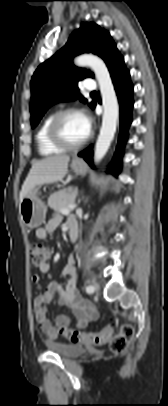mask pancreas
I'll return each mask as SVG.
<instances>
[{"mask_svg":"<svg viewBox=\"0 0 168 406\" xmlns=\"http://www.w3.org/2000/svg\"><path fill=\"white\" fill-rule=\"evenodd\" d=\"M76 193L72 188H67L53 193L48 198V206L55 211L68 208L75 203Z\"/></svg>","mask_w":168,"mask_h":406,"instance_id":"pancreas-1","label":"pancreas"}]
</instances>
